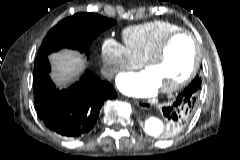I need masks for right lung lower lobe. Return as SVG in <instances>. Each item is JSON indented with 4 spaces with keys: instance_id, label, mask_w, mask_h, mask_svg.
<instances>
[{
    "instance_id": "obj_1",
    "label": "right lung lower lobe",
    "mask_w": 240,
    "mask_h": 160,
    "mask_svg": "<svg viewBox=\"0 0 240 160\" xmlns=\"http://www.w3.org/2000/svg\"><path fill=\"white\" fill-rule=\"evenodd\" d=\"M47 56L35 61L34 102L39 118L52 132L70 138L85 136L95 125L100 109L117 93L109 82L86 70L69 89L59 90L49 77Z\"/></svg>"
}]
</instances>
